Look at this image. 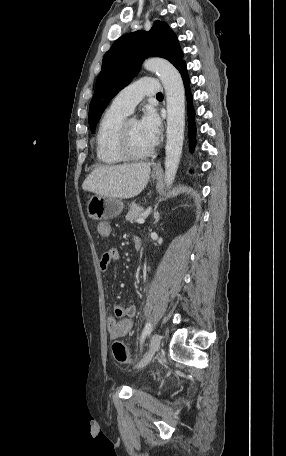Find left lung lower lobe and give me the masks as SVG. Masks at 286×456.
Returning a JSON list of instances; mask_svg holds the SVG:
<instances>
[{
	"label": "left lung lower lobe",
	"instance_id": "left-lung-lower-lobe-1",
	"mask_svg": "<svg viewBox=\"0 0 286 456\" xmlns=\"http://www.w3.org/2000/svg\"><path fill=\"white\" fill-rule=\"evenodd\" d=\"M179 72L181 73L185 90H186V97H187V102H188V122H189V141H190V148L191 150L194 149L195 146V134H196V127H195V122H194V109L192 106V95L190 92V80L188 78V73L186 69V64L185 62L182 63L178 68Z\"/></svg>",
	"mask_w": 286,
	"mask_h": 456
}]
</instances>
